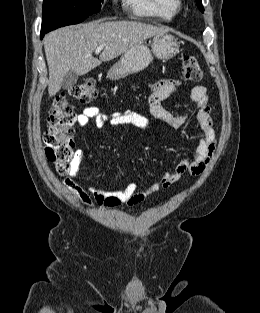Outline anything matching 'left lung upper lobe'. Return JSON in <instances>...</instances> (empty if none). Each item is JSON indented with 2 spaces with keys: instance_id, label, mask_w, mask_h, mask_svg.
<instances>
[{
  "instance_id": "obj_1",
  "label": "left lung upper lobe",
  "mask_w": 260,
  "mask_h": 313,
  "mask_svg": "<svg viewBox=\"0 0 260 313\" xmlns=\"http://www.w3.org/2000/svg\"><path fill=\"white\" fill-rule=\"evenodd\" d=\"M196 2H197L198 5H199V9H200L202 12H204V8H203V6H202V1H201V0H196Z\"/></svg>"
}]
</instances>
